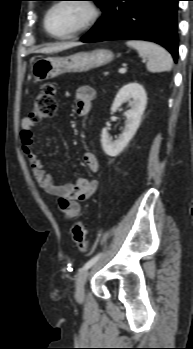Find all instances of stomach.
<instances>
[{"mask_svg": "<svg viewBox=\"0 0 193 349\" xmlns=\"http://www.w3.org/2000/svg\"><path fill=\"white\" fill-rule=\"evenodd\" d=\"M114 58L107 49L91 52H78L65 57H45L35 60L30 67V74L35 82H42L67 72H86L108 64Z\"/></svg>", "mask_w": 193, "mask_h": 349, "instance_id": "stomach-1", "label": "stomach"}]
</instances>
